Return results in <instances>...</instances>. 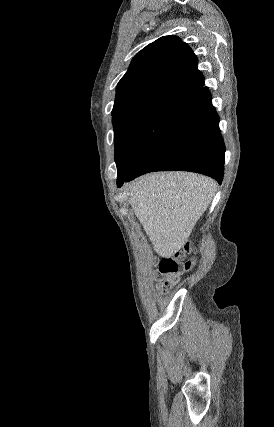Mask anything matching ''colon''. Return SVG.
I'll return each instance as SVG.
<instances>
[{
	"mask_svg": "<svg viewBox=\"0 0 274 427\" xmlns=\"http://www.w3.org/2000/svg\"><path fill=\"white\" fill-rule=\"evenodd\" d=\"M194 250L193 246H187V252ZM193 267L191 261H179V258L174 256H164L161 261L157 264V270L161 277H163L162 283V295L165 297L167 290L172 287L173 277L184 272L190 271Z\"/></svg>",
	"mask_w": 274,
	"mask_h": 427,
	"instance_id": "5ec220e1",
	"label": "colon"
}]
</instances>
